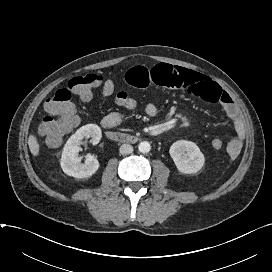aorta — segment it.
Segmentation results:
<instances>
[{
  "mask_svg": "<svg viewBox=\"0 0 272 272\" xmlns=\"http://www.w3.org/2000/svg\"><path fill=\"white\" fill-rule=\"evenodd\" d=\"M138 149L141 153H148L151 149V146H150L149 142L143 141V142L139 143Z\"/></svg>",
  "mask_w": 272,
  "mask_h": 272,
  "instance_id": "aorta-1",
  "label": "aorta"
}]
</instances>
